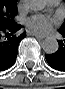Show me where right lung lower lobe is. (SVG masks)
I'll list each match as a JSON object with an SVG mask.
<instances>
[{
    "mask_svg": "<svg viewBox=\"0 0 65 89\" xmlns=\"http://www.w3.org/2000/svg\"><path fill=\"white\" fill-rule=\"evenodd\" d=\"M20 28L17 23L9 28H0V71L10 68L16 61L18 45L26 36V32L16 34Z\"/></svg>",
    "mask_w": 65,
    "mask_h": 89,
    "instance_id": "obj_1",
    "label": "right lung lower lobe"
}]
</instances>
